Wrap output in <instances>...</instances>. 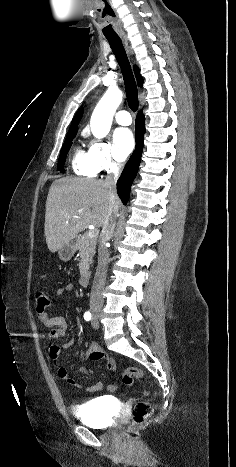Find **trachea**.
<instances>
[{
  "label": "trachea",
  "instance_id": "obj_1",
  "mask_svg": "<svg viewBox=\"0 0 236 467\" xmlns=\"http://www.w3.org/2000/svg\"><path fill=\"white\" fill-rule=\"evenodd\" d=\"M107 40L122 71L128 105L133 112H136L139 105L137 85L121 39L119 37H107Z\"/></svg>",
  "mask_w": 236,
  "mask_h": 467
}]
</instances>
